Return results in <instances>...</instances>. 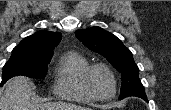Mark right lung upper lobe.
I'll list each match as a JSON object with an SVG mask.
<instances>
[{
	"mask_svg": "<svg viewBox=\"0 0 171 110\" xmlns=\"http://www.w3.org/2000/svg\"><path fill=\"white\" fill-rule=\"evenodd\" d=\"M61 38L58 32L40 31L23 39L13 51L28 56H52Z\"/></svg>",
	"mask_w": 171,
	"mask_h": 110,
	"instance_id": "cb5924a9",
	"label": "right lung upper lobe"
}]
</instances>
